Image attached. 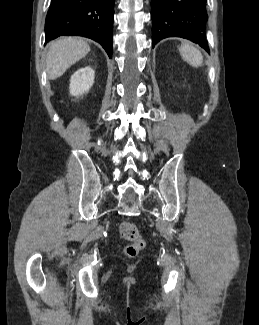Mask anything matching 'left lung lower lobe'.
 Masks as SVG:
<instances>
[{"mask_svg": "<svg viewBox=\"0 0 259 325\" xmlns=\"http://www.w3.org/2000/svg\"><path fill=\"white\" fill-rule=\"evenodd\" d=\"M207 0H151L152 45L167 37H182L209 52L205 30Z\"/></svg>", "mask_w": 259, "mask_h": 325, "instance_id": "1", "label": "left lung lower lobe"}]
</instances>
